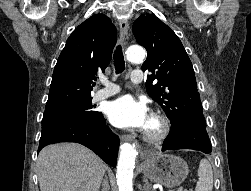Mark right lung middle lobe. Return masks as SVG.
Masks as SVG:
<instances>
[{
  "mask_svg": "<svg viewBox=\"0 0 251 191\" xmlns=\"http://www.w3.org/2000/svg\"><path fill=\"white\" fill-rule=\"evenodd\" d=\"M91 100L92 98H89L45 108L42 129L73 119L98 121L103 115L101 112L93 110L96 105H92Z\"/></svg>",
  "mask_w": 251,
  "mask_h": 191,
  "instance_id": "1",
  "label": "right lung middle lobe"
}]
</instances>
